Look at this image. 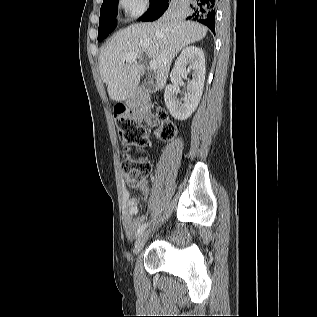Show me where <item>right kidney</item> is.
I'll return each instance as SVG.
<instances>
[{
	"instance_id": "right-kidney-1",
	"label": "right kidney",
	"mask_w": 317,
	"mask_h": 317,
	"mask_svg": "<svg viewBox=\"0 0 317 317\" xmlns=\"http://www.w3.org/2000/svg\"><path fill=\"white\" fill-rule=\"evenodd\" d=\"M188 65V68L186 66ZM192 71V79L187 82L184 98L177 97L182 77ZM205 57L202 49L189 46L182 50L170 74L172 85L165 88L164 100L170 114L177 120H186L196 110L201 99L205 81Z\"/></svg>"
}]
</instances>
